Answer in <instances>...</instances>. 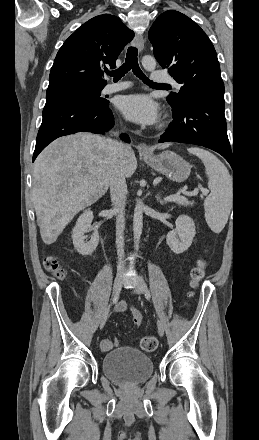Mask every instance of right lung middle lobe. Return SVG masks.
<instances>
[{
  "label": "right lung middle lobe",
  "mask_w": 259,
  "mask_h": 440,
  "mask_svg": "<svg viewBox=\"0 0 259 440\" xmlns=\"http://www.w3.org/2000/svg\"><path fill=\"white\" fill-rule=\"evenodd\" d=\"M103 88H87V87H76L59 92H54L46 95V100L59 99L66 97H87L95 99L99 102H106L107 100L100 98V94Z\"/></svg>",
  "instance_id": "dd1d6c3e"
}]
</instances>
